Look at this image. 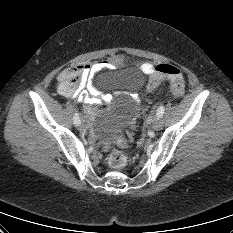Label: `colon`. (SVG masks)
Returning a JSON list of instances; mask_svg holds the SVG:
<instances>
[{
    "mask_svg": "<svg viewBox=\"0 0 233 233\" xmlns=\"http://www.w3.org/2000/svg\"><path fill=\"white\" fill-rule=\"evenodd\" d=\"M163 78L170 80L171 92L175 97H182L185 94L186 86L182 73L178 68L167 64L156 66L155 72L150 77L148 91L155 90ZM80 80L81 66L66 68L58 76L59 89L65 94L72 93L78 88ZM115 143L118 147H124L127 144V139L125 136L119 135ZM108 161L110 167L120 170L127 165V156L122 150L115 149L111 153Z\"/></svg>",
    "mask_w": 233,
    "mask_h": 233,
    "instance_id": "colon-1",
    "label": "colon"
}]
</instances>
